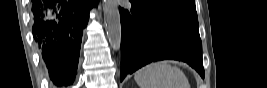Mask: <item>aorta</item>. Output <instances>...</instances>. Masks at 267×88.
I'll return each instance as SVG.
<instances>
[{
	"label": "aorta",
	"instance_id": "1",
	"mask_svg": "<svg viewBox=\"0 0 267 88\" xmlns=\"http://www.w3.org/2000/svg\"><path fill=\"white\" fill-rule=\"evenodd\" d=\"M103 12L107 38L114 51L121 46V23L116 0H104Z\"/></svg>",
	"mask_w": 267,
	"mask_h": 88
}]
</instances>
